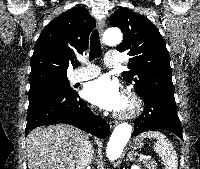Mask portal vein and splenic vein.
Here are the masks:
<instances>
[{
    "label": "portal vein and splenic vein",
    "instance_id": "1",
    "mask_svg": "<svg viewBox=\"0 0 200 169\" xmlns=\"http://www.w3.org/2000/svg\"><path fill=\"white\" fill-rule=\"evenodd\" d=\"M139 158H140V159H150L151 156H140Z\"/></svg>",
    "mask_w": 200,
    "mask_h": 169
}]
</instances>
